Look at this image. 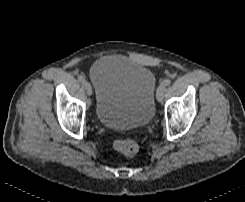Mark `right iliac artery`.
Returning <instances> with one entry per match:
<instances>
[{
	"instance_id": "obj_1",
	"label": "right iliac artery",
	"mask_w": 245,
	"mask_h": 202,
	"mask_svg": "<svg viewBox=\"0 0 245 202\" xmlns=\"http://www.w3.org/2000/svg\"><path fill=\"white\" fill-rule=\"evenodd\" d=\"M78 80H79L80 82H83V81H85V77H84L83 75H79V76H78Z\"/></svg>"
}]
</instances>
